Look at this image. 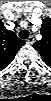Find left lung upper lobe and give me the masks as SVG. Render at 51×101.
<instances>
[{"mask_svg": "<svg viewBox=\"0 0 51 101\" xmlns=\"http://www.w3.org/2000/svg\"><path fill=\"white\" fill-rule=\"evenodd\" d=\"M42 39L35 42L33 47L39 51L44 62L47 65L51 64V19H44L40 29Z\"/></svg>", "mask_w": 51, "mask_h": 101, "instance_id": "left-lung-upper-lobe-1", "label": "left lung upper lobe"}]
</instances>
